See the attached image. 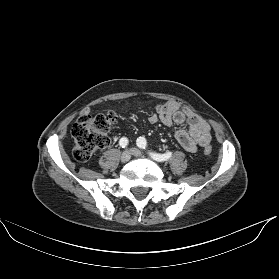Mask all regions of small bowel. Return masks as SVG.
Returning a JSON list of instances; mask_svg holds the SVG:
<instances>
[{"label":"small bowel","instance_id":"1","mask_svg":"<svg viewBox=\"0 0 279 279\" xmlns=\"http://www.w3.org/2000/svg\"><path fill=\"white\" fill-rule=\"evenodd\" d=\"M155 109L156 112L148 117L151 124L158 122L167 126L188 124V130L178 129L175 132L177 141L185 150L197 152L200 148L209 146L210 126L190 109L182 107L177 101H168L164 104L155 103Z\"/></svg>","mask_w":279,"mask_h":279}]
</instances>
